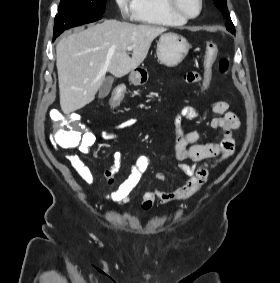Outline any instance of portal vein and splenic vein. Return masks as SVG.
Returning a JSON list of instances; mask_svg holds the SVG:
<instances>
[{"label": "portal vein and splenic vein", "mask_w": 280, "mask_h": 283, "mask_svg": "<svg viewBox=\"0 0 280 283\" xmlns=\"http://www.w3.org/2000/svg\"><path fill=\"white\" fill-rule=\"evenodd\" d=\"M132 49H133L132 46H128V47H127V50H128V51H131Z\"/></svg>", "instance_id": "obj_1"}]
</instances>
